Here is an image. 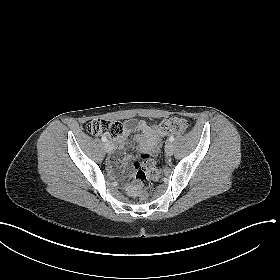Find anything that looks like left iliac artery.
<instances>
[{
    "label": "left iliac artery",
    "mask_w": 280,
    "mask_h": 280,
    "mask_svg": "<svg viewBox=\"0 0 280 280\" xmlns=\"http://www.w3.org/2000/svg\"><path fill=\"white\" fill-rule=\"evenodd\" d=\"M174 140H175V137L174 136H170L169 141L173 142Z\"/></svg>",
    "instance_id": "44dca946"
}]
</instances>
